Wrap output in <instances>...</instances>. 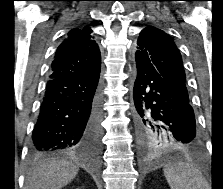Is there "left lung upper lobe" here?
<instances>
[{
	"instance_id": "left-lung-upper-lobe-1",
	"label": "left lung upper lobe",
	"mask_w": 223,
	"mask_h": 189,
	"mask_svg": "<svg viewBox=\"0 0 223 189\" xmlns=\"http://www.w3.org/2000/svg\"><path fill=\"white\" fill-rule=\"evenodd\" d=\"M135 59L156 70L182 99L189 102L181 54L168 34L153 26L143 29L137 40ZM139 133L142 143L149 147L189 149L179 147L157 127L145 128Z\"/></svg>"
}]
</instances>
